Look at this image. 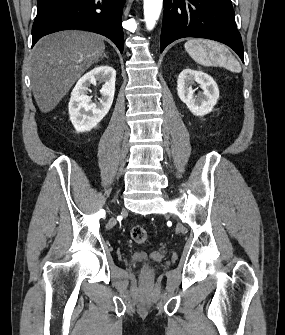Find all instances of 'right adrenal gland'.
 <instances>
[{"label":"right adrenal gland","instance_id":"right-adrenal-gland-1","mask_svg":"<svg viewBox=\"0 0 285 335\" xmlns=\"http://www.w3.org/2000/svg\"><path fill=\"white\" fill-rule=\"evenodd\" d=\"M102 58H107V56H105V54H104V56H102Z\"/></svg>","mask_w":285,"mask_h":335}]
</instances>
